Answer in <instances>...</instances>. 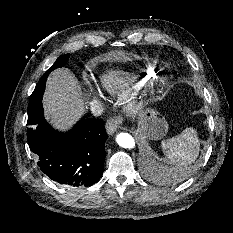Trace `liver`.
Returning a JSON list of instances; mask_svg holds the SVG:
<instances>
[{
  "instance_id": "obj_1",
  "label": "liver",
  "mask_w": 233,
  "mask_h": 233,
  "mask_svg": "<svg viewBox=\"0 0 233 233\" xmlns=\"http://www.w3.org/2000/svg\"><path fill=\"white\" fill-rule=\"evenodd\" d=\"M43 107L46 118L58 129L71 127L84 113L79 85L68 69H57L49 75Z\"/></svg>"
}]
</instances>
